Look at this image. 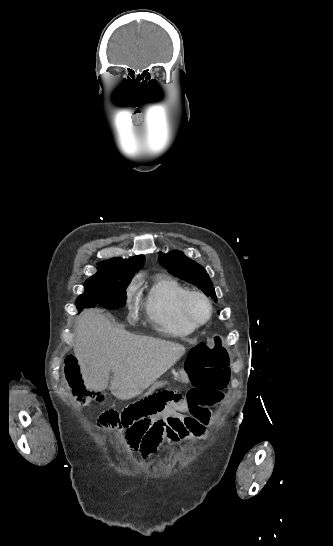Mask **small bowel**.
<instances>
[{
	"instance_id": "small-bowel-1",
	"label": "small bowel",
	"mask_w": 333,
	"mask_h": 546,
	"mask_svg": "<svg viewBox=\"0 0 333 546\" xmlns=\"http://www.w3.org/2000/svg\"><path fill=\"white\" fill-rule=\"evenodd\" d=\"M175 378L187 381L191 377L188 370L175 371ZM167 379H158V388L169 386ZM191 386L193 383H187ZM148 393H154L156 388L148 386L145 389ZM140 396H147L141 393ZM206 400L200 403L183 402L180 409L167 407L159 412L155 418H147L146 422H135L129 418L126 425L125 444L132 453H139L143 459H149L156 451L163 439L170 445L179 447L182 444L190 443L194 439H202L206 435V426L210 422V407L221 402L224 394L222 391H207L202 393ZM187 412L188 415H184Z\"/></svg>"
}]
</instances>
